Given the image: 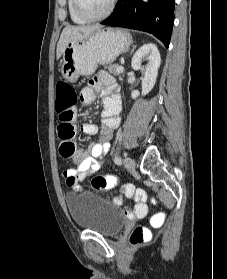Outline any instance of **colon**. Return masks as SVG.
Returning a JSON list of instances; mask_svg holds the SVG:
<instances>
[{
	"mask_svg": "<svg viewBox=\"0 0 227 279\" xmlns=\"http://www.w3.org/2000/svg\"><path fill=\"white\" fill-rule=\"evenodd\" d=\"M77 102L76 90L71 85H58V98L56 101V111L58 112L61 126L59 128L62 143L60 144V155L62 158L69 159L74 154V144L72 137L75 133L74 126L70 124L73 119V109ZM119 183V178L115 174H104L95 176L92 179V187L96 191L113 188ZM68 184L76 191L80 190L78 182L75 178L71 177ZM136 195L141 196L144 194L142 190L134 192ZM149 232L147 229L138 227L134 230L131 241L133 243H140L147 239Z\"/></svg>",
	"mask_w": 227,
	"mask_h": 279,
	"instance_id": "colon-1",
	"label": "colon"
}]
</instances>
